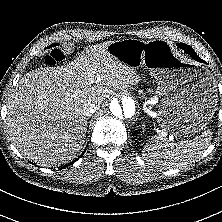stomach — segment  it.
Segmentation results:
<instances>
[{
	"mask_svg": "<svg viewBox=\"0 0 222 222\" xmlns=\"http://www.w3.org/2000/svg\"><path fill=\"white\" fill-rule=\"evenodd\" d=\"M106 52L118 63L145 67L158 83L161 97L157 124L176 136H191L213 117L216 84L208 69L182 59L168 40L122 39L110 42Z\"/></svg>",
	"mask_w": 222,
	"mask_h": 222,
	"instance_id": "stomach-1",
	"label": "stomach"
}]
</instances>
